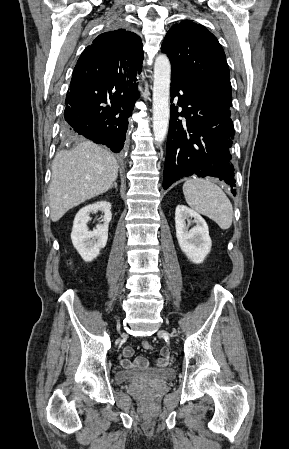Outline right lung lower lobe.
I'll use <instances>...</instances> for the list:
<instances>
[{"instance_id": "obj_1", "label": "right lung lower lobe", "mask_w": 289, "mask_h": 449, "mask_svg": "<svg viewBox=\"0 0 289 449\" xmlns=\"http://www.w3.org/2000/svg\"><path fill=\"white\" fill-rule=\"evenodd\" d=\"M136 81L132 78L91 82L73 77L66 95L64 131L119 153L124 146L128 118L139 98Z\"/></svg>"}]
</instances>
